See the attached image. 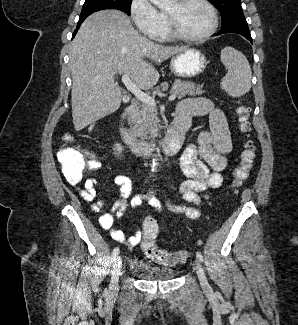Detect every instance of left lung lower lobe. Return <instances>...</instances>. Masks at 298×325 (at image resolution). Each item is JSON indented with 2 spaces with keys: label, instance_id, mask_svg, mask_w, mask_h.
<instances>
[{
  "label": "left lung lower lobe",
  "instance_id": "left-lung-lower-lobe-1",
  "mask_svg": "<svg viewBox=\"0 0 298 325\" xmlns=\"http://www.w3.org/2000/svg\"><path fill=\"white\" fill-rule=\"evenodd\" d=\"M224 33L240 34L246 37L252 43V38L245 18L235 20L229 24L222 26V29L215 35H221Z\"/></svg>",
  "mask_w": 298,
  "mask_h": 325
}]
</instances>
